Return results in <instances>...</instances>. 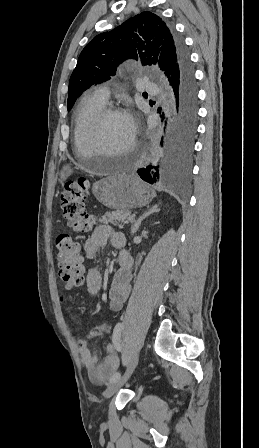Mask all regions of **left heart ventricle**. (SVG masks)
<instances>
[{"instance_id":"b2bd125f","label":"left heart ventricle","mask_w":259,"mask_h":448,"mask_svg":"<svg viewBox=\"0 0 259 448\" xmlns=\"http://www.w3.org/2000/svg\"><path fill=\"white\" fill-rule=\"evenodd\" d=\"M133 132L124 119V116H111L107 118L102 127V141L109 150L88 149L82 151L83 161L97 157L104 158L109 155H117L129 149Z\"/></svg>"}]
</instances>
